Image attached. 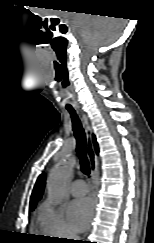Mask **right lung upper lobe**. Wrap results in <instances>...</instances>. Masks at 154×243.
Wrapping results in <instances>:
<instances>
[{"label": "right lung upper lobe", "mask_w": 154, "mask_h": 243, "mask_svg": "<svg viewBox=\"0 0 154 243\" xmlns=\"http://www.w3.org/2000/svg\"><path fill=\"white\" fill-rule=\"evenodd\" d=\"M93 141H94L95 150L98 153V145H97L94 135H93ZM44 186H45V177L43 176V174H41L38 177L36 184L34 186V189H33V192H32L31 198H30V207L36 206V202L38 200H40V198L42 197Z\"/></svg>", "instance_id": "1"}]
</instances>
